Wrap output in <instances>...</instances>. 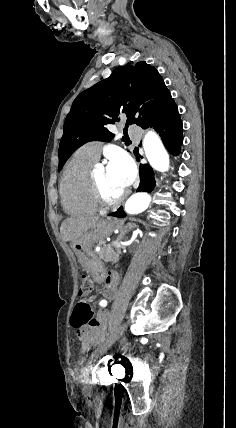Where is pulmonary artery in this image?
<instances>
[{
	"instance_id": "1",
	"label": "pulmonary artery",
	"mask_w": 236,
	"mask_h": 428,
	"mask_svg": "<svg viewBox=\"0 0 236 428\" xmlns=\"http://www.w3.org/2000/svg\"><path fill=\"white\" fill-rule=\"evenodd\" d=\"M86 153L94 160H96L100 155V146L88 144L85 146Z\"/></svg>"
}]
</instances>
